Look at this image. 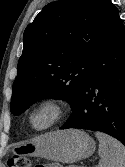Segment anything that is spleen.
I'll use <instances>...</instances> for the list:
<instances>
[{"label": "spleen", "instance_id": "obj_1", "mask_svg": "<svg viewBox=\"0 0 125 167\" xmlns=\"http://www.w3.org/2000/svg\"><path fill=\"white\" fill-rule=\"evenodd\" d=\"M95 135L99 140L98 167H125V146L106 134L96 132Z\"/></svg>", "mask_w": 125, "mask_h": 167}]
</instances>
